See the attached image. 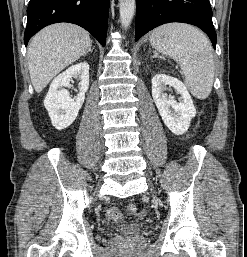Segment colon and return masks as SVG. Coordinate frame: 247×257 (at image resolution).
I'll return each instance as SVG.
<instances>
[{
  "label": "colon",
  "mask_w": 247,
  "mask_h": 257,
  "mask_svg": "<svg viewBox=\"0 0 247 257\" xmlns=\"http://www.w3.org/2000/svg\"><path fill=\"white\" fill-rule=\"evenodd\" d=\"M137 212V207L134 204H129L126 206V214L128 216H133ZM107 217L111 220L120 221L123 216L117 208H111L107 211Z\"/></svg>",
  "instance_id": "1"
}]
</instances>
